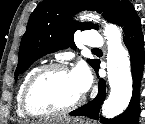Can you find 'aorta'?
<instances>
[{
    "mask_svg": "<svg viewBox=\"0 0 145 124\" xmlns=\"http://www.w3.org/2000/svg\"><path fill=\"white\" fill-rule=\"evenodd\" d=\"M83 19H99L93 14ZM105 23L104 36L107 40V75L110 94L102 106V114L106 118L120 115L128 106L132 97V75L129 54L122 45L121 31L118 26Z\"/></svg>",
    "mask_w": 145,
    "mask_h": 124,
    "instance_id": "aorta-1",
    "label": "aorta"
}]
</instances>
